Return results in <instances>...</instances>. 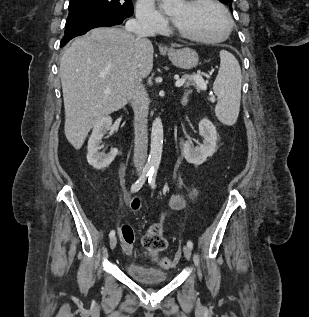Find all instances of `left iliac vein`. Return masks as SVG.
<instances>
[{"instance_id": "4c4485c4", "label": "left iliac vein", "mask_w": 309, "mask_h": 317, "mask_svg": "<svg viewBox=\"0 0 309 317\" xmlns=\"http://www.w3.org/2000/svg\"><path fill=\"white\" fill-rule=\"evenodd\" d=\"M183 253H184L185 258L187 260H190V258H191V248L188 245H185L183 247Z\"/></svg>"}]
</instances>
